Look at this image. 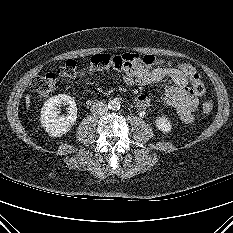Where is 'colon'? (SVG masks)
Wrapping results in <instances>:
<instances>
[{
    "instance_id": "colon-1",
    "label": "colon",
    "mask_w": 233,
    "mask_h": 233,
    "mask_svg": "<svg viewBox=\"0 0 233 233\" xmlns=\"http://www.w3.org/2000/svg\"><path fill=\"white\" fill-rule=\"evenodd\" d=\"M125 62L133 63L139 62L147 67H153L156 65H170V62H167L163 59H159L153 55H144L141 56L137 53H125L121 55H110L106 53L96 54L91 57L90 63L87 68L82 69L74 60H68L63 66L58 69V75L67 78L75 79L77 77L83 76L86 72H93L99 69H103L111 66L113 63ZM177 67L182 70L187 77L189 78L192 90L197 95L202 96L205 92V87L203 81L201 80L199 74L189 64L180 63ZM59 86V79L53 73H47L42 76L35 77L31 83L30 88L38 96L46 98L52 95ZM213 110V103L210 100H206L202 105V111L204 114H210Z\"/></svg>"
}]
</instances>
